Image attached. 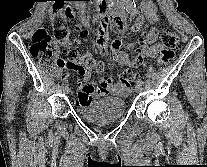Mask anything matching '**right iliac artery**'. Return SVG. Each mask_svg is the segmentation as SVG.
<instances>
[{"label": "right iliac artery", "mask_w": 207, "mask_h": 167, "mask_svg": "<svg viewBox=\"0 0 207 167\" xmlns=\"http://www.w3.org/2000/svg\"><path fill=\"white\" fill-rule=\"evenodd\" d=\"M62 85H63V86H66V85H67V82H64Z\"/></svg>", "instance_id": "1"}]
</instances>
